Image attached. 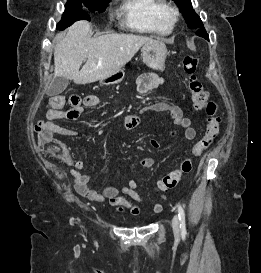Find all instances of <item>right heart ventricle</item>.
Instances as JSON below:
<instances>
[{
  "instance_id": "right-heart-ventricle-1",
  "label": "right heart ventricle",
  "mask_w": 261,
  "mask_h": 273,
  "mask_svg": "<svg viewBox=\"0 0 261 273\" xmlns=\"http://www.w3.org/2000/svg\"><path fill=\"white\" fill-rule=\"evenodd\" d=\"M166 7L165 0H123L120 12L132 30L166 35L172 28L163 17Z\"/></svg>"
}]
</instances>
